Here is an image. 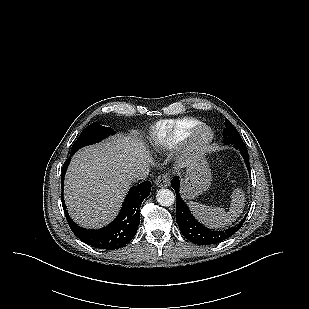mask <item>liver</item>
Segmentation results:
<instances>
[{
	"instance_id": "6515ba94",
	"label": "liver",
	"mask_w": 309,
	"mask_h": 309,
	"mask_svg": "<svg viewBox=\"0 0 309 309\" xmlns=\"http://www.w3.org/2000/svg\"><path fill=\"white\" fill-rule=\"evenodd\" d=\"M143 145L120 134L78 151L68 168L64 198L79 225L98 228L110 223L131 186L130 172L146 167ZM180 162L184 167L188 162Z\"/></svg>"
}]
</instances>
